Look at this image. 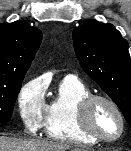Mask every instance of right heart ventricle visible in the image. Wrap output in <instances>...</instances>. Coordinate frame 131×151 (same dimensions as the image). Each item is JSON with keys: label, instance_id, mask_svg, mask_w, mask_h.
Instances as JSON below:
<instances>
[{"label": "right heart ventricle", "instance_id": "right-heart-ventricle-1", "mask_svg": "<svg viewBox=\"0 0 131 151\" xmlns=\"http://www.w3.org/2000/svg\"><path fill=\"white\" fill-rule=\"evenodd\" d=\"M90 94L87 86L74 76L64 77L56 95L46 105L44 128L47 137L73 144H95L84 134L77 120L80 101Z\"/></svg>", "mask_w": 131, "mask_h": 151}]
</instances>
